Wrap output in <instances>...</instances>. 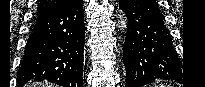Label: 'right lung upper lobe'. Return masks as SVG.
I'll use <instances>...</instances> for the list:
<instances>
[{
    "mask_svg": "<svg viewBox=\"0 0 205 87\" xmlns=\"http://www.w3.org/2000/svg\"><path fill=\"white\" fill-rule=\"evenodd\" d=\"M71 0H40L37 7V14L45 13L66 5Z\"/></svg>",
    "mask_w": 205,
    "mask_h": 87,
    "instance_id": "1",
    "label": "right lung upper lobe"
}]
</instances>
